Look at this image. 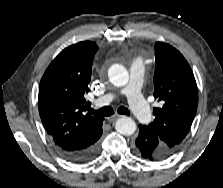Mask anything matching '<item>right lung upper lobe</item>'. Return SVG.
Returning <instances> with one entry per match:
<instances>
[{"label": "right lung upper lobe", "mask_w": 223, "mask_h": 188, "mask_svg": "<svg viewBox=\"0 0 223 188\" xmlns=\"http://www.w3.org/2000/svg\"><path fill=\"white\" fill-rule=\"evenodd\" d=\"M98 47L84 41L60 52L39 85V114L55 146L79 148L102 132L103 118L84 114L92 63Z\"/></svg>", "instance_id": "cb5924a9"}]
</instances>
